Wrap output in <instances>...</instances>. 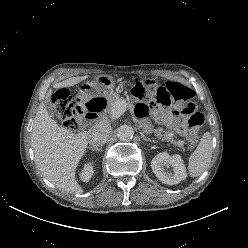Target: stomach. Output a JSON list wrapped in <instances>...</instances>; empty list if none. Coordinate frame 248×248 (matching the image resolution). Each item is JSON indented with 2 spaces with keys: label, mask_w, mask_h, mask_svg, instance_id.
Masks as SVG:
<instances>
[{
  "label": "stomach",
  "mask_w": 248,
  "mask_h": 248,
  "mask_svg": "<svg viewBox=\"0 0 248 248\" xmlns=\"http://www.w3.org/2000/svg\"><path fill=\"white\" fill-rule=\"evenodd\" d=\"M113 79L106 75H97L91 81L81 83L77 89L82 107L93 113L104 115L112 107V101L108 94Z\"/></svg>",
  "instance_id": "stomach-1"
}]
</instances>
